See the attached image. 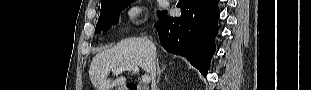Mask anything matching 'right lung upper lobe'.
<instances>
[{
	"label": "right lung upper lobe",
	"mask_w": 311,
	"mask_h": 90,
	"mask_svg": "<svg viewBox=\"0 0 311 90\" xmlns=\"http://www.w3.org/2000/svg\"><path fill=\"white\" fill-rule=\"evenodd\" d=\"M107 1H109V0H102V1H101V4H102V3H105V2H107Z\"/></svg>",
	"instance_id": "right-lung-upper-lobe-1"
}]
</instances>
